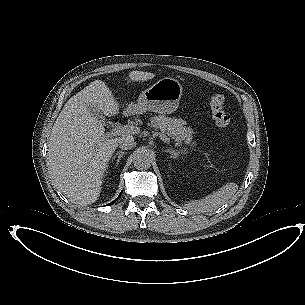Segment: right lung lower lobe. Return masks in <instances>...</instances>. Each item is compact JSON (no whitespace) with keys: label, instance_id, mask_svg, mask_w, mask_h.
<instances>
[{"label":"right lung lower lobe","instance_id":"98d812e1","mask_svg":"<svg viewBox=\"0 0 305 305\" xmlns=\"http://www.w3.org/2000/svg\"><path fill=\"white\" fill-rule=\"evenodd\" d=\"M121 195V194H120ZM120 195L118 196V198L120 197ZM118 198H116L113 202H111L109 205H112L113 203L116 202V200H118Z\"/></svg>","mask_w":305,"mask_h":305}]
</instances>
